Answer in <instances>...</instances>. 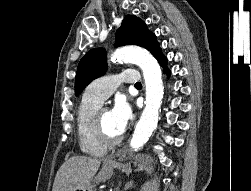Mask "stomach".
Returning a JSON list of instances; mask_svg holds the SVG:
<instances>
[{
  "label": "stomach",
  "mask_w": 251,
  "mask_h": 191,
  "mask_svg": "<svg viewBox=\"0 0 251 191\" xmlns=\"http://www.w3.org/2000/svg\"><path fill=\"white\" fill-rule=\"evenodd\" d=\"M114 167H122V163H119V161H116V159H114L113 165H105L104 163L102 169H100L95 179H93V183L86 185V187H82V189H75V191H95V185H97L99 181H105V179L111 177Z\"/></svg>",
  "instance_id": "1"
}]
</instances>
